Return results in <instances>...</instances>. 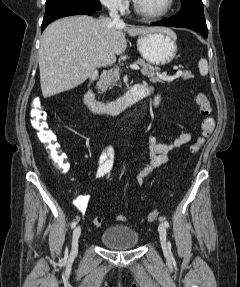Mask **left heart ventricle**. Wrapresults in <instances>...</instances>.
Wrapping results in <instances>:
<instances>
[{"label": "left heart ventricle", "instance_id": "obj_1", "mask_svg": "<svg viewBox=\"0 0 240 287\" xmlns=\"http://www.w3.org/2000/svg\"><path fill=\"white\" fill-rule=\"evenodd\" d=\"M136 1L143 9L149 11L161 10L166 2V0H136Z\"/></svg>", "mask_w": 240, "mask_h": 287}]
</instances>
